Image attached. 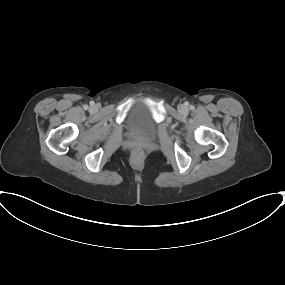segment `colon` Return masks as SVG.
I'll use <instances>...</instances> for the list:
<instances>
[{
    "label": "colon",
    "mask_w": 285,
    "mask_h": 285,
    "mask_svg": "<svg viewBox=\"0 0 285 285\" xmlns=\"http://www.w3.org/2000/svg\"><path fill=\"white\" fill-rule=\"evenodd\" d=\"M135 153H136L137 155H140V154L142 153V151H141L140 149H137V150L135 151Z\"/></svg>",
    "instance_id": "colon-1"
}]
</instances>
